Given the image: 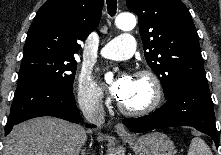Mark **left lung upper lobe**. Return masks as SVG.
I'll list each match as a JSON object with an SVG mask.
<instances>
[{"label":"left lung upper lobe","mask_w":221,"mask_h":155,"mask_svg":"<svg viewBox=\"0 0 221 155\" xmlns=\"http://www.w3.org/2000/svg\"><path fill=\"white\" fill-rule=\"evenodd\" d=\"M138 15L145 59L163 86L165 98L191 79L206 78L199 38L180 0H127Z\"/></svg>","instance_id":"5c2ea615"}]
</instances>
